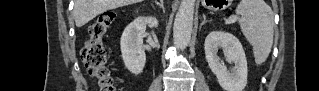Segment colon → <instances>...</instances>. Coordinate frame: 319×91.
I'll return each instance as SVG.
<instances>
[{
	"label": "colon",
	"mask_w": 319,
	"mask_h": 91,
	"mask_svg": "<svg viewBox=\"0 0 319 91\" xmlns=\"http://www.w3.org/2000/svg\"><path fill=\"white\" fill-rule=\"evenodd\" d=\"M114 20L112 12L100 14L90 25V35L82 48L81 56L88 74L94 79L98 90H115L110 71L106 65L107 55L104 36Z\"/></svg>",
	"instance_id": "colon-1"
}]
</instances>
